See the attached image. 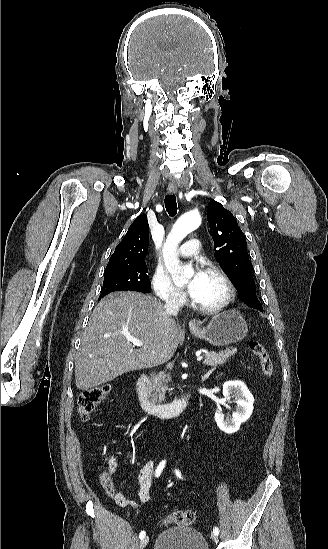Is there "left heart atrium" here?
Returning a JSON list of instances; mask_svg holds the SVG:
<instances>
[{
	"label": "left heart atrium",
	"instance_id": "1",
	"mask_svg": "<svg viewBox=\"0 0 328 549\" xmlns=\"http://www.w3.org/2000/svg\"><path fill=\"white\" fill-rule=\"evenodd\" d=\"M202 279H203L202 271H193L191 273L185 290L192 299H194L197 296Z\"/></svg>",
	"mask_w": 328,
	"mask_h": 549
}]
</instances>
